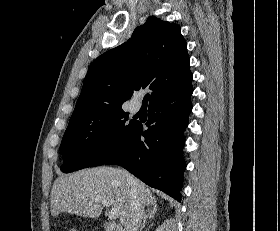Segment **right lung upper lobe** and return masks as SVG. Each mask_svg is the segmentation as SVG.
I'll return each mask as SVG.
<instances>
[{"label":"right lung upper lobe","instance_id":"obj_1","mask_svg":"<svg viewBox=\"0 0 280 231\" xmlns=\"http://www.w3.org/2000/svg\"><path fill=\"white\" fill-rule=\"evenodd\" d=\"M180 31L179 25L151 16L128 42L96 58L70 121L123 111L122 104L140 89L153 91L150 105L191 85L187 43Z\"/></svg>","mask_w":280,"mask_h":231}]
</instances>
